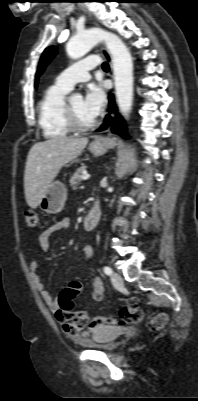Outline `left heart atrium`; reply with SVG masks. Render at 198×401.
Returning a JSON list of instances; mask_svg holds the SVG:
<instances>
[{"instance_id": "obj_1", "label": "left heart atrium", "mask_w": 198, "mask_h": 401, "mask_svg": "<svg viewBox=\"0 0 198 401\" xmlns=\"http://www.w3.org/2000/svg\"><path fill=\"white\" fill-rule=\"evenodd\" d=\"M106 103V96L103 88L98 84L88 86L83 106L85 112L93 119L97 118L103 111Z\"/></svg>"}]
</instances>
